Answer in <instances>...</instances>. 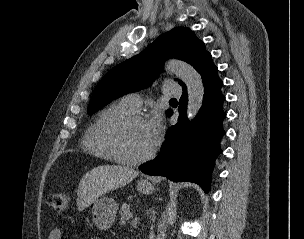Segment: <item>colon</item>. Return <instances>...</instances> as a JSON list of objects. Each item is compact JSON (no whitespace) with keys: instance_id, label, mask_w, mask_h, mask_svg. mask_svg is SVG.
<instances>
[{"instance_id":"1","label":"colon","mask_w":304,"mask_h":239,"mask_svg":"<svg viewBox=\"0 0 304 239\" xmlns=\"http://www.w3.org/2000/svg\"><path fill=\"white\" fill-rule=\"evenodd\" d=\"M48 205L57 212H63L67 209L69 195L66 192L52 193L47 196Z\"/></svg>"}]
</instances>
